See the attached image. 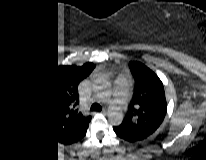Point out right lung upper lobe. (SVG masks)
<instances>
[{"label":"right lung upper lobe","mask_w":206,"mask_h":160,"mask_svg":"<svg viewBox=\"0 0 206 160\" xmlns=\"http://www.w3.org/2000/svg\"><path fill=\"white\" fill-rule=\"evenodd\" d=\"M69 69L52 72L39 86L35 102V118L41 130L60 142L82 138L91 117H84L77 109V86Z\"/></svg>","instance_id":"cb5924a9"}]
</instances>
